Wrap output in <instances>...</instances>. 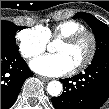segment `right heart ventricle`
I'll use <instances>...</instances> for the list:
<instances>
[{
	"mask_svg": "<svg viewBox=\"0 0 109 109\" xmlns=\"http://www.w3.org/2000/svg\"><path fill=\"white\" fill-rule=\"evenodd\" d=\"M41 28L48 39L60 40L85 29V26L78 21L68 20L50 26H41Z\"/></svg>",
	"mask_w": 109,
	"mask_h": 109,
	"instance_id": "obj_1",
	"label": "right heart ventricle"
}]
</instances>
